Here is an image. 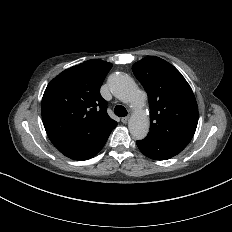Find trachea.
Segmentation results:
<instances>
[{
	"label": "trachea",
	"mask_w": 232,
	"mask_h": 232,
	"mask_svg": "<svg viewBox=\"0 0 232 232\" xmlns=\"http://www.w3.org/2000/svg\"><path fill=\"white\" fill-rule=\"evenodd\" d=\"M114 113L119 117H125L127 115V110L122 105H117L114 109Z\"/></svg>",
	"instance_id": "trachea-1"
}]
</instances>
